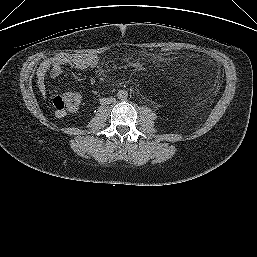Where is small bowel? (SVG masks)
<instances>
[{"instance_id":"1","label":"small bowel","mask_w":257,"mask_h":257,"mask_svg":"<svg viewBox=\"0 0 257 257\" xmlns=\"http://www.w3.org/2000/svg\"><path fill=\"white\" fill-rule=\"evenodd\" d=\"M99 64V58L95 54H80L69 56L66 54H57L45 59L37 68L36 82L39 91L47 94L46 78L51 80L57 79L63 72L66 65H70L77 69H90L95 68ZM57 117L64 116V113H56Z\"/></svg>"}]
</instances>
